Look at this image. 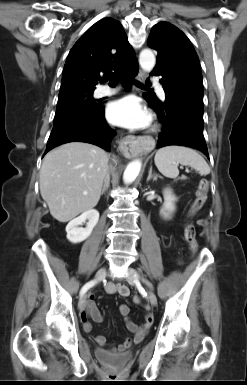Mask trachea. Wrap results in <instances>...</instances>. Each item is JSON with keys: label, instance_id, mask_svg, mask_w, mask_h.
<instances>
[{"label": "trachea", "instance_id": "trachea-1", "mask_svg": "<svg viewBox=\"0 0 247 385\" xmlns=\"http://www.w3.org/2000/svg\"><path fill=\"white\" fill-rule=\"evenodd\" d=\"M119 83V78L118 77H110V84L111 85H117ZM135 84L139 87H143V85L140 82H135Z\"/></svg>", "mask_w": 247, "mask_h": 385}]
</instances>
